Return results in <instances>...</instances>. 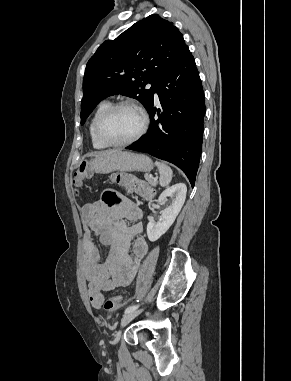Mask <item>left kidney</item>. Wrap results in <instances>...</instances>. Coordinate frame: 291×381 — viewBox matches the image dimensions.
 I'll return each mask as SVG.
<instances>
[{"label":"left kidney","mask_w":291,"mask_h":381,"mask_svg":"<svg viewBox=\"0 0 291 381\" xmlns=\"http://www.w3.org/2000/svg\"><path fill=\"white\" fill-rule=\"evenodd\" d=\"M187 187L184 183H177L164 190L158 197L157 202L162 203L167 201L169 197L170 204L161 212L157 222L152 216L148 217L147 236L151 242L158 240L167 232L170 226L174 223L179 214L186 198Z\"/></svg>","instance_id":"left-kidney-1"}]
</instances>
